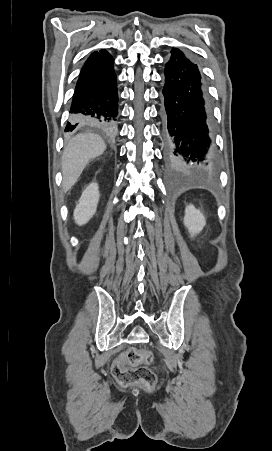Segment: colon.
I'll list each match as a JSON object with an SVG mask.
<instances>
[{"instance_id":"colon-1","label":"colon","mask_w":272,"mask_h":451,"mask_svg":"<svg viewBox=\"0 0 272 451\" xmlns=\"http://www.w3.org/2000/svg\"><path fill=\"white\" fill-rule=\"evenodd\" d=\"M152 350L128 351L124 358H116L114 374L120 383L124 385L139 384L144 385L148 390L157 387V379L150 369Z\"/></svg>"}]
</instances>
